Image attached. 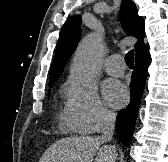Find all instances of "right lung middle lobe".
I'll return each instance as SVG.
<instances>
[{"label": "right lung middle lobe", "instance_id": "obj_1", "mask_svg": "<svg viewBox=\"0 0 168 162\" xmlns=\"http://www.w3.org/2000/svg\"><path fill=\"white\" fill-rule=\"evenodd\" d=\"M53 83H54V82L49 83V87H51ZM49 95H50V92L48 93V96H49Z\"/></svg>", "mask_w": 168, "mask_h": 162}]
</instances>
